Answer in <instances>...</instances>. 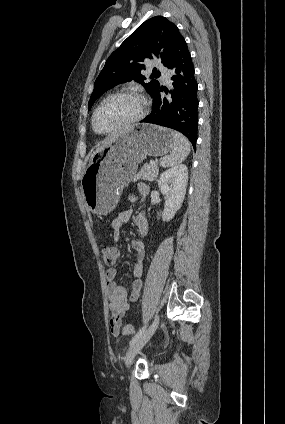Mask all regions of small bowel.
I'll return each instance as SVG.
<instances>
[{"label": "small bowel", "mask_w": 285, "mask_h": 424, "mask_svg": "<svg viewBox=\"0 0 285 424\" xmlns=\"http://www.w3.org/2000/svg\"><path fill=\"white\" fill-rule=\"evenodd\" d=\"M148 187L145 184L137 186V198H144L148 194ZM132 216V209H125L121 211L111 222L113 230L114 241H119L122 237V227L127 223ZM133 223L136 226L140 236L147 235L149 230L148 220L143 213L137 214L133 218ZM131 247L136 255V262L132 268L133 281L131 283L130 293L127 292L125 287L116 283L118 271L115 268H109L106 272V295L110 302V310L112 318L110 321L111 332L114 336L120 333L130 334L122 331V317L124 313L130 308L132 302L138 300L141 294L143 283L141 280L143 274V263L146 255L145 244L142 240L134 239L131 241ZM118 317V323H113V317Z\"/></svg>", "instance_id": "c3829d8e"}]
</instances>
